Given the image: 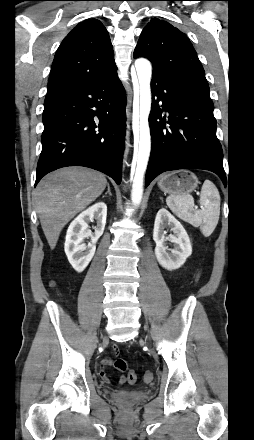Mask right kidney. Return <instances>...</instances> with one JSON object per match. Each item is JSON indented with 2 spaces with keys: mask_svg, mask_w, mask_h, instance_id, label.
I'll use <instances>...</instances> for the list:
<instances>
[{
  "mask_svg": "<svg viewBox=\"0 0 254 440\" xmlns=\"http://www.w3.org/2000/svg\"><path fill=\"white\" fill-rule=\"evenodd\" d=\"M107 217V205L98 202L80 213L69 225L64 250L72 267L77 272H82L93 258L96 242L103 234ZM96 220L94 235L88 229V222ZM91 238V243L85 245L84 238Z\"/></svg>",
  "mask_w": 254,
  "mask_h": 440,
  "instance_id": "ca27d5eb",
  "label": "right kidney"
}]
</instances>
